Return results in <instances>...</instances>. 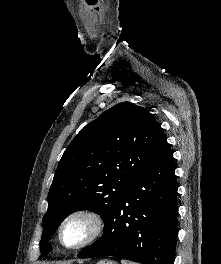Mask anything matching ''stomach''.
<instances>
[{
	"mask_svg": "<svg viewBox=\"0 0 221 264\" xmlns=\"http://www.w3.org/2000/svg\"><path fill=\"white\" fill-rule=\"evenodd\" d=\"M97 264H118L117 262L115 261H111V260H101L99 261Z\"/></svg>",
	"mask_w": 221,
	"mask_h": 264,
	"instance_id": "0dacf381",
	"label": "stomach"
}]
</instances>
